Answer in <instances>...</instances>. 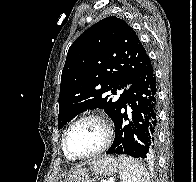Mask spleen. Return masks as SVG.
I'll use <instances>...</instances> for the list:
<instances>
[{"instance_id": "spleen-1", "label": "spleen", "mask_w": 196, "mask_h": 182, "mask_svg": "<svg viewBox=\"0 0 196 182\" xmlns=\"http://www.w3.org/2000/svg\"><path fill=\"white\" fill-rule=\"evenodd\" d=\"M119 173L122 182H149V175L142 165L131 157L119 155Z\"/></svg>"}]
</instances>
